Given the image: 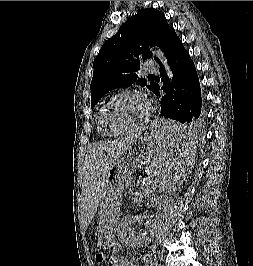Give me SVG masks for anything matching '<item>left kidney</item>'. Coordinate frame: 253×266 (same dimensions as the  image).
I'll use <instances>...</instances> for the list:
<instances>
[{"label":"left kidney","mask_w":253,"mask_h":266,"mask_svg":"<svg viewBox=\"0 0 253 266\" xmlns=\"http://www.w3.org/2000/svg\"><path fill=\"white\" fill-rule=\"evenodd\" d=\"M137 221V217L134 215H127L119 225L118 235L120 241L128 247H139L146 243L149 236L152 235V231L147 229L144 233L134 234L130 230V225Z\"/></svg>","instance_id":"left-kidney-1"}]
</instances>
